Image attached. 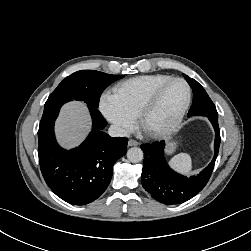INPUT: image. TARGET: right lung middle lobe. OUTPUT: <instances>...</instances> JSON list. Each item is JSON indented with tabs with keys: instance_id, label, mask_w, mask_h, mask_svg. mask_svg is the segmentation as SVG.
I'll list each match as a JSON object with an SVG mask.
<instances>
[{
	"instance_id": "dd1d6c3e",
	"label": "right lung middle lobe",
	"mask_w": 251,
	"mask_h": 251,
	"mask_svg": "<svg viewBox=\"0 0 251 251\" xmlns=\"http://www.w3.org/2000/svg\"><path fill=\"white\" fill-rule=\"evenodd\" d=\"M123 75H111L95 70H81L66 77L48 97L45 107L70 100L84 101L98 107L102 92Z\"/></svg>"
}]
</instances>
